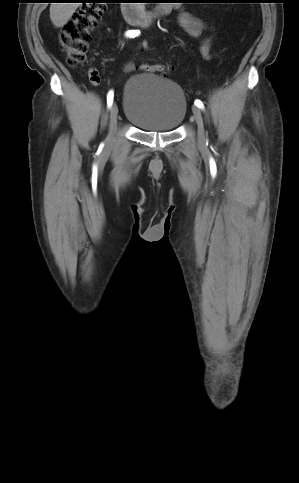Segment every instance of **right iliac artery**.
Wrapping results in <instances>:
<instances>
[{"instance_id":"obj_1","label":"right iliac artery","mask_w":299,"mask_h":483,"mask_svg":"<svg viewBox=\"0 0 299 483\" xmlns=\"http://www.w3.org/2000/svg\"><path fill=\"white\" fill-rule=\"evenodd\" d=\"M139 34H140V31L139 30H129V31L126 32V36H128L130 38H135ZM113 98H114V93L111 90V91H109V93L107 95V104H108V107H110L112 105Z\"/></svg>"}]
</instances>
